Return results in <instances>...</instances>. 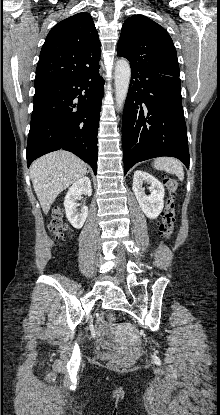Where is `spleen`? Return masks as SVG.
Segmentation results:
<instances>
[{
	"label": "spleen",
	"instance_id": "spleen-1",
	"mask_svg": "<svg viewBox=\"0 0 220 415\" xmlns=\"http://www.w3.org/2000/svg\"><path fill=\"white\" fill-rule=\"evenodd\" d=\"M153 166L157 170L175 174L180 180L184 179L182 164L177 159L171 157H160L154 160Z\"/></svg>",
	"mask_w": 220,
	"mask_h": 415
}]
</instances>
